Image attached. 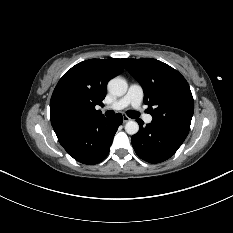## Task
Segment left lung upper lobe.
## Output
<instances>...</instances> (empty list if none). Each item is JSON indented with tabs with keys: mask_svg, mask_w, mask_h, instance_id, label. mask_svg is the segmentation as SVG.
<instances>
[{
	"mask_svg": "<svg viewBox=\"0 0 233 233\" xmlns=\"http://www.w3.org/2000/svg\"><path fill=\"white\" fill-rule=\"evenodd\" d=\"M122 61L142 86L144 103L149 106L153 120L190 130L194 101L185 78L174 68L156 59Z\"/></svg>",
	"mask_w": 233,
	"mask_h": 233,
	"instance_id": "1",
	"label": "left lung upper lobe"
}]
</instances>
